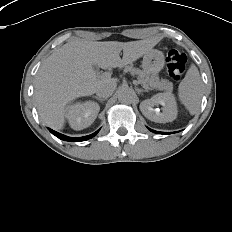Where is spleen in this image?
Masks as SVG:
<instances>
[{
  "mask_svg": "<svg viewBox=\"0 0 232 232\" xmlns=\"http://www.w3.org/2000/svg\"><path fill=\"white\" fill-rule=\"evenodd\" d=\"M202 89L203 82L198 68L191 65L178 87L179 99L190 114H195L200 109Z\"/></svg>",
  "mask_w": 232,
  "mask_h": 232,
  "instance_id": "3e777b00",
  "label": "spleen"
}]
</instances>
